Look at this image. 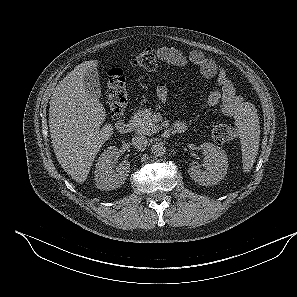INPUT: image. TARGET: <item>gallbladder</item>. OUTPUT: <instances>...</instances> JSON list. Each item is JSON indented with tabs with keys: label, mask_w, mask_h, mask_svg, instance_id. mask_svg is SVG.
<instances>
[{
	"label": "gallbladder",
	"mask_w": 297,
	"mask_h": 297,
	"mask_svg": "<svg viewBox=\"0 0 297 297\" xmlns=\"http://www.w3.org/2000/svg\"><path fill=\"white\" fill-rule=\"evenodd\" d=\"M83 86L90 98L98 100L101 97L100 81L97 70H88L83 78Z\"/></svg>",
	"instance_id": "gallbladder-1"
}]
</instances>
